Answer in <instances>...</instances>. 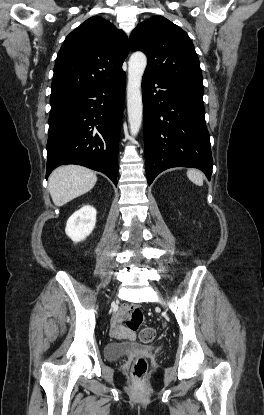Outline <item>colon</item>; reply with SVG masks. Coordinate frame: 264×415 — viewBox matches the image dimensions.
Segmentation results:
<instances>
[{"instance_id": "1", "label": "colon", "mask_w": 264, "mask_h": 415, "mask_svg": "<svg viewBox=\"0 0 264 415\" xmlns=\"http://www.w3.org/2000/svg\"><path fill=\"white\" fill-rule=\"evenodd\" d=\"M131 315L127 320V326L131 329H136L143 321L144 314L140 307L133 306L130 308ZM156 331L152 327H145L140 331V340L143 343H150L154 340ZM148 362L144 357H139L135 360L133 365V374L137 381H142L146 375Z\"/></svg>"}]
</instances>
